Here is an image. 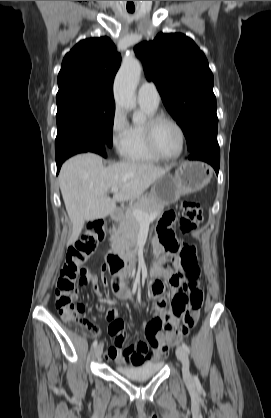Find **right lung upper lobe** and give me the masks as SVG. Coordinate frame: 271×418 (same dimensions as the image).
Instances as JSON below:
<instances>
[{
  "instance_id": "1",
  "label": "right lung upper lobe",
  "mask_w": 271,
  "mask_h": 418,
  "mask_svg": "<svg viewBox=\"0 0 271 418\" xmlns=\"http://www.w3.org/2000/svg\"><path fill=\"white\" fill-rule=\"evenodd\" d=\"M121 56L108 37L80 41L63 59L57 103L86 100L114 103L113 80Z\"/></svg>"
}]
</instances>
